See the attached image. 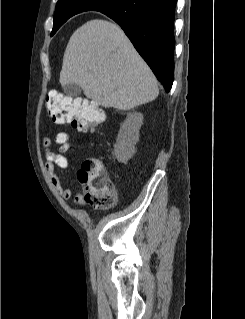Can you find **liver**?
Masks as SVG:
<instances>
[{"label":"liver","instance_id":"1","mask_svg":"<svg viewBox=\"0 0 245 319\" xmlns=\"http://www.w3.org/2000/svg\"><path fill=\"white\" fill-rule=\"evenodd\" d=\"M60 84L74 83L87 98L107 108L130 110L159 94L151 69L116 24L94 19L79 27L67 44Z\"/></svg>","mask_w":245,"mask_h":319}]
</instances>
